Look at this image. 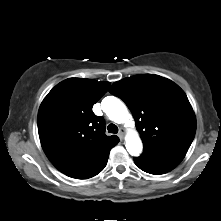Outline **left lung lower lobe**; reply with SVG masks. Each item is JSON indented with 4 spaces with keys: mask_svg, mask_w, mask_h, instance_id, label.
<instances>
[{
    "mask_svg": "<svg viewBox=\"0 0 221 221\" xmlns=\"http://www.w3.org/2000/svg\"><path fill=\"white\" fill-rule=\"evenodd\" d=\"M185 155V151L143 152L140 157L134 158V162L141 170L150 174L160 175L175 168Z\"/></svg>",
    "mask_w": 221,
    "mask_h": 221,
    "instance_id": "1",
    "label": "left lung lower lobe"
}]
</instances>
